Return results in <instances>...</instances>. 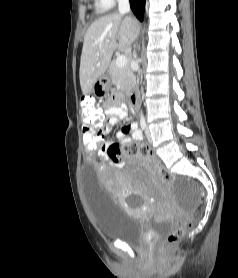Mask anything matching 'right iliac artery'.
Masks as SVG:
<instances>
[{
  "instance_id": "82829eb1",
  "label": "right iliac artery",
  "mask_w": 238,
  "mask_h": 278,
  "mask_svg": "<svg viewBox=\"0 0 238 278\" xmlns=\"http://www.w3.org/2000/svg\"><path fill=\"white\" fill-rule=\"evenodd\" d=\"M140 126H141V129L144 131L147 127L146 125V121H145V118L143 116H141L140 118Z\"/></svg>"
}]
</instances>
